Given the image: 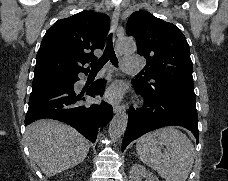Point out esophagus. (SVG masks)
Returning a JSON list of instances; mask_svg holds the SVG:
<instances>
[{
	"label": "esophagus",
	"mask_w": 228,
	"mask_h": 181,
	"mask_svg": "<svg viewBox=\"0 0 228 181\" xmlns=\"http://www.w3.org/2000/svg\"><path fill=\"white\" fill-rule=\"evenodd\" d=\"M119 16H120V7H115L112 15V26L116 34L123 30V27L119 24ZM117 56H121V53L117 51ZM125 110L124 105H115L113 107L114 113H119Z\"/></svg>",
	"instance_id": "34e87169"
}]
</instances>
